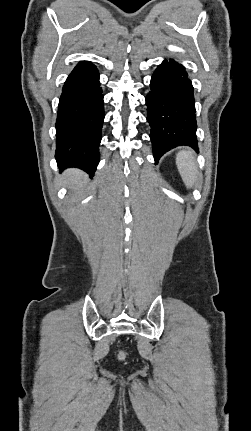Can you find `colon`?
Returning a JSON list of instances; mask_svg holds the SVG:
<instances>
[{"instance_id":"1","label":"colon","mask_w":251,"mask_h":431,"mask_svg":"<svg viewBox=\"0 0 251 431\" xmlns=\"http://www.w3.org/2000/svg\"><path fill=\"white\" fill-rule=\"evenodd\" d=\"M118 356H119L120 359H124L126 357V354H125L124 351H120L119 354H118Z\"/></svg>"}]
</instances>
